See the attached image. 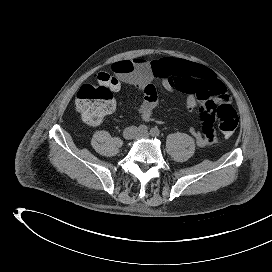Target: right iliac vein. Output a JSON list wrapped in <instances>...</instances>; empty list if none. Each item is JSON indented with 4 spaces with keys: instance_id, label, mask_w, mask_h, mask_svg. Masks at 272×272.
I'll return each instance as SVG.
<instances>
[{
    "instance_id": "63e3f726",
    "label": "right iliac vein",
    "mask_w": 272,
    "mask_h": 272,
    "mask_svg": "<svg viewBox=\"0 0 272 272\" xmlns=\"http://www.w3.org/2000/svg\"><path fill=\"white\" fill-rule=\"evenodd\" d=\"M136 132H137V130L135 129V128H129V129H127L126 131H125V133H124V137L126 138V139H132L134 136H135V134H136Z\"/></svg>"
}]
</instances>
